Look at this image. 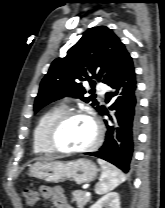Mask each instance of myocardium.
<instances>
[{
	"label": "myocardium",
	"instance_id": "obj_1",
	"mask_svg": "<svg viewBox=\"0 0 165 208\" xmlns=\"http://www.w3.org/2000/svg\"><path fill=\"white\" fill-rule=\"evenodd\" d=\"M74 117H85L89 119L95 129V136L90 145L87 147L81 148V149H66L63 147H60L57 144L56 136L58 131L63 127V125ZM102 127L98 121V119L89 111L83 110V109H77V110H65L63 113H61L49 126L47 132H46V143L49 146V148L59 154H84L93 151L96 149L102 140Z\"/></svg>",
	"mask_w": 165,
	"mask_h": 208
}]
</instances>
